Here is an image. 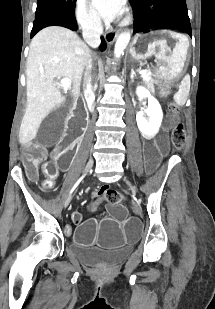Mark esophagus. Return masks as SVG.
I'll use <instances>...</instances> for the list:
<instances>
[{"label":"esophagus","mask_w":215,"mask_h":309,"mask_svg":"<svg viewBox=\"0 0 215 309\" xmlns=\"http://www.w3.org/2000/svg\"><path fill=\"white\" fill-rule=\"evenodd\" d=\"M117 35H118L117 32H114L113 30H108L106 31L104 37L108 44H112L117 38Z\"/></svg>","instance_id":"esophagus-1"}]
</instances>
